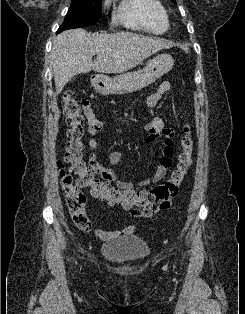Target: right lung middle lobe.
<instances>
[{
	"label": "right lung middle lobe",
	"instance_id": "right-lung-middle-lobe-1",
	"mask_svg": "<svg viewBox=\"0 0 245 314\" xmlns=\"http://www.w3.org/2000/svg\"><path fill=\"white\" fill-rule=\"evenodd\" d=\"M101 3L102 0H72L64 22L57 33L98 22L102 13Z\"/></svg>",
	"mask_w": 245,
	"mask_h": 314
}]
</instances>
